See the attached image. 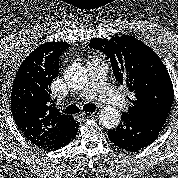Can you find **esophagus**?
I'll return each instance as SVG.
<instances>
[{"mask_svg":"<svg viewBox=\"0 0 178 178\" xmlns=\"http://www.w3.org/2000/svg\"><path fill=\"white\" fill-rule=\"evenodd\" d=\"M99 115V110H96L94 112H91V113H85V112H82L80 114L81 117L85 118V117H96Z\"/></svg>","mask_w":178,"mask_h":178,"instance_id":"obj_1","label":"esophagus"}]
</instances>
